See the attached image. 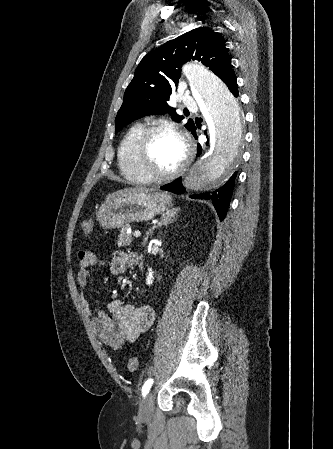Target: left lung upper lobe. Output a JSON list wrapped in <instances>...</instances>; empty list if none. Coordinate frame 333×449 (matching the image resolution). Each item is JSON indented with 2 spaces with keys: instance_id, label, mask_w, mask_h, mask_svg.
I'll use <instances>...</instances> for the list:
<instances>
[{
  "instance_id": "5c2ea615",
  "label": "left lung upper lobe",
  "mask_w": 333,
  "mask_h": 449,
  "mask_svg": "<svg viewBox=\"0 0 333 449\" xmlns=\"http://www.w3.org/2000/svg\"><path fill=\"white\" fill-rule=\"evenodd\" d=\"M201 61L223 81L232 71L225 41L208 28L191 30L147 54L135 70L128 85L123 104L115 120V133L128 122L147 115L169 113L175 121L184 117L167 103L178 85L183 63ZM185 127L194 132L196 127L189 119Z\"/></svg>"
}]
</instances>
